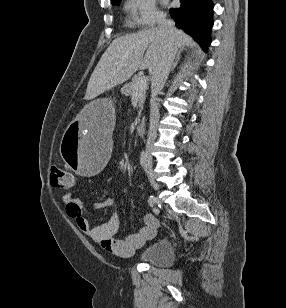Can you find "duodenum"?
Listing matches in <instances>:
<instances>
[{"label":"duodenum","mask_w":286,"mask_h":308,"mask_svg":"<svg viewBox=\"0 0 286 308\" xmlns=\"http://www.w3.org/2000/svg\"><path fill=\"white\" fill-rule=\"evenodd\" d=\"M136 132L138 135L143 136L146 134V123L141 121L136 126Z\"/></svg>","instance_id":"obj_1"}]
</instances>
